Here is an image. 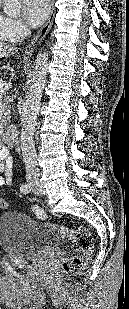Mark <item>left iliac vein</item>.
<instances>
[{
    "instance_id": "1",
    "label": "left iliac vein",
    "mask_w": 129,
    "mask_h": 309,
    "mask_svg": "<svg viewBox=\"0 0 129 309\" xmlns=\"http://www.w3.org/2000/svg\"><path fill=\"white\" fill-rule=\"evenodd\" d=\"M31 189L32 192L37 196H42L44 194V191L36 178L31 183Z\"/></svg>"
}]
</instances>
